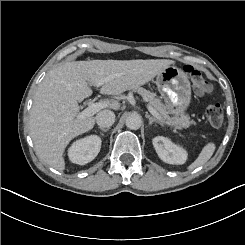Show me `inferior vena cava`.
<instances>
[{
	"instance_id": "inferior-vena-cava-1",
	"label": "inferior vena cava",
	"mask_w": 245,
	"mask_h": 245,
	"mask_svg": "<svg viewBox=\"0 0 245 245\" xmlns=\"http://www.w3.org/2000/svg\"><path fill=\"white\" fill-rule=\"evenodd\" d=\"M114 121L115 114L110 110H103L99 112L96 116V122L102 128L110 127L111 125H113Z\"/></svg>"
}]
</instances>
